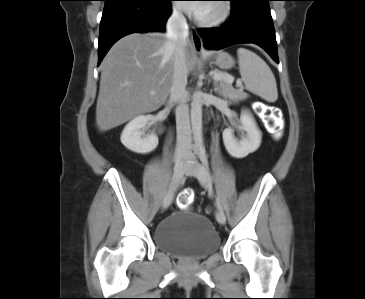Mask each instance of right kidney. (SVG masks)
Instances as JSON below:
<instances>
[{
    "instance_id": "ca27d5eb",
    "label": "right kidney",
    "mask_w": 365,
    "mask_h": 299,
    "mask_svg": "<svg viewBox=\"0 0 365 299\" xmlns=\"http://www.w3.org/2000/svg\"><path fill=\"white\" fill-rule=\"evenodd\" d=\"M151 119L148 115H139L132 119L121 134V143L135 153L146 154L153 151L158 145V137L155 134L144 135L142 131Z\"/></svg>"
}]
</instances>
